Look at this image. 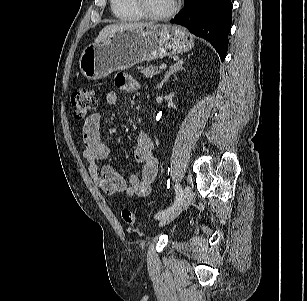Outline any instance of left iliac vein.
Segmentation results:
<instances>
[{
	"instance_id": "4c4485c4",
	"label": "left iliac vein",
	"mask_w": 307,
	"mask_h": 301,
	"mask_svg": "<svg viewBox=\"0 0 307 301\" xmlns=\"http://www.w3.org/2000/svg\"><path fill=\"white\" fill-rule=\"evenodd\" d=\"M192 201V189L190 186H186L182 192V198L178 203L177 207L170 213H168L165 217H163L160 221V226L166 225L173 221L184 208L190 205Z\"/></svg>"
}]
</instances>
